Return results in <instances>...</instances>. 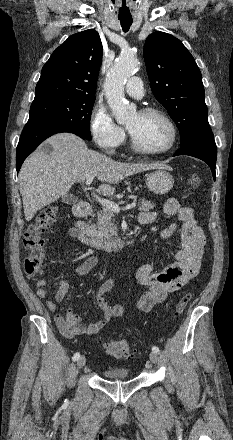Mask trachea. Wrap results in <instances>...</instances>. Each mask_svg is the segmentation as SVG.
<instances>
[{
	"label": "trachea",
	"instance_id": "3493384b",
	"mask_svg": "<svg viewBox=\"0 0 233 440\" xmlns=\"http://www.w3.org/2000/svg\"><path fill=\"white\" fill-rule=\"evenodd\" d=\"M122 29L124 32H127L132 25V19H119Z\"/></svg>",
	"mask_w": 233,
	"mask_h": 440
}]
</instances>
